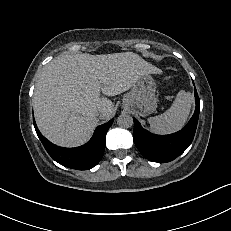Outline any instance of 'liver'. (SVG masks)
I'll return each instance as SVG.
<instances>
[{"label": "liver", "instance_id": "obj_1", "mask_svg": "<svg viewBox=\"0 0 231 231\" xmlns=\"http://www.w3.org/2000/svg\"><path fill=\"white\" fill-rule=\"evenodd\" d=\"M162 71L133 52L104 55L65 54L44 66L33 96L38 128L51 142L76 147L87 142L99 119L108 120L114 105L105 96L127 90L144 74ZM102 109L101 114L97 111Z\"/></svg>", "mask_w": 231, "mask_h": 231}]
</instances>
